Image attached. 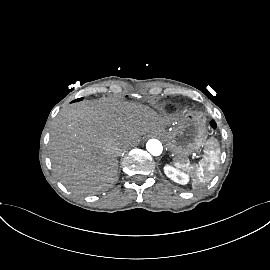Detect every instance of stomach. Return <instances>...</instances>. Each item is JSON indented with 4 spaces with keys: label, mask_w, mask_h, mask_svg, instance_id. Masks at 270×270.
<instances>
[{
    "label": "stomach",
    "mask_w": 270,
    "mask_h": 270,
    "mask_svg": "<svg viewBox=\"0 0 270 270\" xmlns=\"http://www.w3.org/2000/svg\"><path fill=\"white\" fill-rule=\"evenodd\" d=\"M176 163H185L187 157L198 151L206 138V122L202 114L191 112L179 118L171 130L163 135Z\"/></svg>",
    "instance_id": "1"
}]
</instances>
